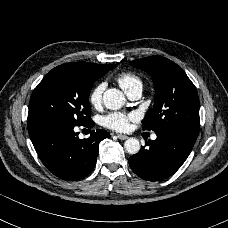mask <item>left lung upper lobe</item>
Here are the masks:
<instances>
[{
    "label": "left lung upper lobe",
    "mask_w": 228,
    "mask_h": 228,
    "mask_svg": "<svg viewBox=\"0 0 228 228\" xmlns=\"http://www.w3.org/2000/svg\"><path fill=\"white\" fill-rule=\"evenodd\" d=\"M146 71L155 86L154 107L142 121L143 130L177 131L198 136L199 98L197 90L181 67L161 56L130 63Z\"/></svg>",
    "instance_id": "5c2ea615"
}]
</instances>
